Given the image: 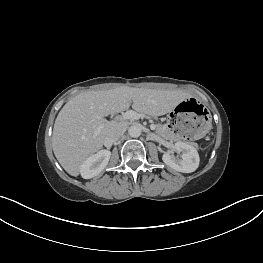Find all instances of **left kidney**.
Instances as JSON below:
<instances>
[{
	"instance_id": "5707ae66",
	"label": "left kidney",
	"mask_w": 263,
	"mask_h": 263,
	"mask_svg": "<svg viewBox=\"0 0 263 263\" xmlns=\"http://www.w3.org/2000/svg\"><path fill=\"white\" fill-rule=\"evenodd\" d=\"M174 147L178 153H182L181 157L176 158L170 153L165 152L162 155L163 162L179 172H194L198 168L200 162L199 154L196 148L185 142H176Z\"/></svg>"
}]
</instances>
